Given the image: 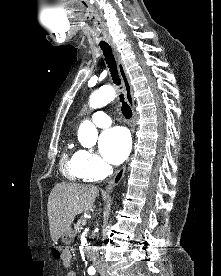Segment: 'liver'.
<instances>
[{
	"label": "liver",
	"instance_id": "1",
	"mask_svg": "<svg viewBox=\"0 0 221 276\" xmlns=\"http://www.w3.org/2000/svg\"><path fill=\"white\" fill-rule=\"evenodd\" d=\"M98 189L93 185L59 183L52 189L47 204L49 229L53 242L71 227L76 215L89 210Z\"/></svg>",
	"mask_w": 221,
	"mask_h": 276
}]
</instances>
